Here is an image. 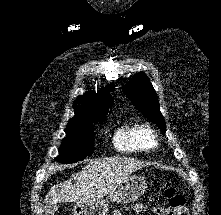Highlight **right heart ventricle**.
<instances>
[{
  "mask_svg": "<svg viewBox=\"0 0 221 215\" xmlns=\"http://www.w3.org/2000/svg\"><path fill=\"white\" fill-rule=\"evenodd\" d=\"M116 148L122 151L150 150L156 141L152 129L146 125L124 126L114 137Z\"/></svg>",
  "mask_w": 221,
  "mask_h": 215,
  "instance_id": "right-heart-ventricle-1",
  "label": "right heart ventricle"
}]
</instances>
